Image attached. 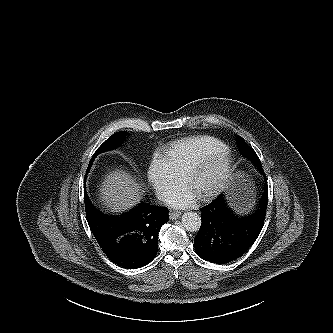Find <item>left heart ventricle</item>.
<instances>
[{
	"label": "left heart ventricle",
	"instance_id": "left-heart-ventricle-1",
	"mask_svg": "<svg viewBox=\"0 0 333 333\" xmlns=\"http://www.w3.org/2000/svg\"><path fill=\"white\" fill-rule=\"evenodd\" d=\"M220 176V165L214 164L196 176L189 184V189L199 195L210 189Z\"/></svg>",
	"mask_w": 333,
	"mask_h": 333
}]
</instances>
